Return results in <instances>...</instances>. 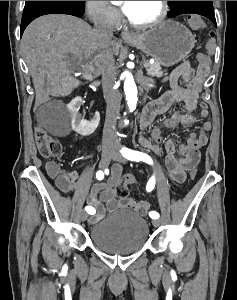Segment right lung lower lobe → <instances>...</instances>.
I'll list each match as a JSON object with an SVG mask.
<instances>
[{
    "mask_svg": "<svg viewBox=\"0 0 237 300\" xmlns=\"http://www.w3.org/2000/svg\"><path fill=\"white\" fill-rule=\"evenodd\" d=\"M83 13H84V4L70 5V6H57V7L40 10L33 15H30L26 18H22L21 27H20L21 34L24 32L27 25L39 16L46 15V14H69V15L80 17L83 15Z\"/></svg>",
    "mask_w": 237,
    "mask_h": 300,
    "instance_id": "98d812e1",
    "label": "right lung lower lobe"
}]
</instances>
